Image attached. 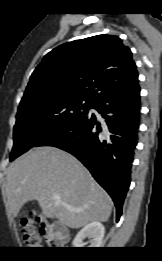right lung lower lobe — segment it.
<instances>
[{
  "label": "right lung lower lobe",
  "instance_id": "98d812e1",
  "mask_svg": "<svg viewBox=\"0 0 162 261\" xmlns=\"http://www.w3.org/2000/svg\"><path fill=\"white\" fill-rule=\"evenodd\" d=\"M92 108L101 114L100 119L87 114L51 132L35 147L54 146L78 158L113 199L119 221L137 144L139 85L102 96Z\"/></svg>",
  "mask_w": 162,
  "mask_h": 261
}]
</instances>
